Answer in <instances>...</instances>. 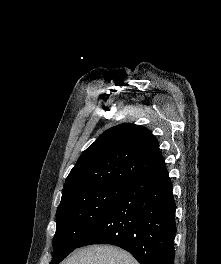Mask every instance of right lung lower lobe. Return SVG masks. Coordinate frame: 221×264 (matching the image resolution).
Segmentation results:
<instances>
[{"label": "right lung lower lobe", "instance_id": "1", "mask_svg": "<svg viewBox=\"0 0 221 264\" xmlns=\"http://www.w3.org/2000/svg\"><path fill=\"white\" fill-rule=\"evenodd\" d=\"M175 209L164 166L128 182L79 247L112 244L130 252L140 264H174Z\"/></svg>", "mask_w": 221, "mask_h": 264}]
</instances>
